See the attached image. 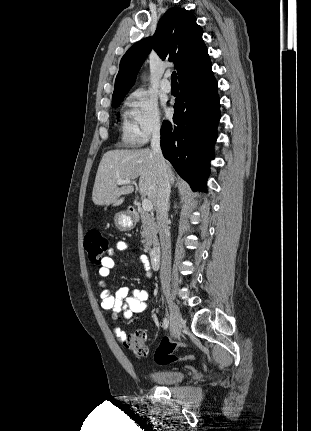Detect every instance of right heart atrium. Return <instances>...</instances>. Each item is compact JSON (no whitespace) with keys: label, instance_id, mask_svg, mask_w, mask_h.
<instances>
[{"label":"right heart atrium","instance_id":"obj_1","mask_svg":"<svg viewBox=\"0 0 311 431\" xmlns=\"http://www.w3.org/2000/svg\"><path fill=\"white\" fill-rule=\"evenodd\" d=\"M125 105L130 109L140 144L147 143L162 132L164 120L161 109L157 101L144 90L138 89L130 93L125 99Z\"/></svg>","mask_w":311,"mask_h":431}]
</instances>
